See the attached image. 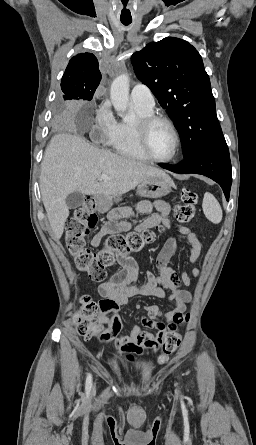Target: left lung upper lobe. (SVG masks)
I'll return each instance as SVG.
<instances>
[{
	"label": "left lung upper lobe",
	"mask_w": 256,
	"mask_h": 445,
	"mask_svg": "<svg viewBox=\"0 0 256 445\" xmlns=\"http://www.w3.org/2000/svg\"><path fill=\"white\" fill-rule=\"evenodd\" d=\"M147 85L174 121L184 158L203 147L226 144L202 57L187 41L167 37L131 57Z\"/></svg>",
	"instance_id": "1"
}]
</instances>
